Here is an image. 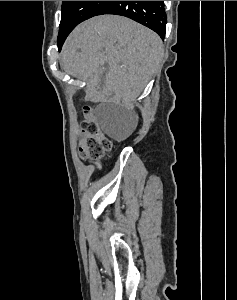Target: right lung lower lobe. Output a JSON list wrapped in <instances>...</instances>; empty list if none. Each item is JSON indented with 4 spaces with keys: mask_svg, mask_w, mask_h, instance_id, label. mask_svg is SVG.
I'll return each mask as SVG.
<instances>
[{
    "mask_svg": "<svg viewBox=\"0 0 237 300\" xmlns=\"http://www.w3.org/2000/svg\"><path fill=\"white\" fill-rule=\"evenodd\" d=\"M103 14L128 17L152 29L162 39L165 36L167 18L163 1H109L97 13Z\"/></svg>",
    "mask_w": 237,
    "mask_h": 300,
    "instance_id": "right-lung-lower-lobe-1",
    "label": "right lung lower lobe"
}]
</instances>
